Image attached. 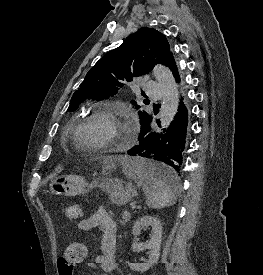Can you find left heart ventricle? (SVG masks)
Wrapping results in <instances>:
<instances>
[{
    "label": "left heart ventricle",
    "instance_id": "b2bd125f",
    "mask_svg": "<svg viewBox=\"0 0 263 275\" xmlns=\"http://www.w3.org/2000/svg\"><path fill=\"white\" fill-rule=\"evenodd\" d=\"M113 134L111 125L104 119L92 120L82 131V137L88 142H101Z\"/></svg>",
    "mask_w": 263,
    "mask_h": 275
}]
</instances>
